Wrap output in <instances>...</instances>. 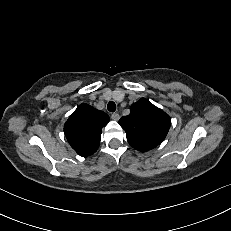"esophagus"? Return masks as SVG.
<instances>
[{
  "instance_id": "34e87169",
  "label": "esophagus",
  "mask_w": 231,
  "mask_h": 231,
  "mask_svg": "<svg viewBox=\"0 0 231 231\" xmlns=\"http://www.w3.org/2000/svg\"><path fill=\"white\" fill-rule=\"evenodd\" d=\"M111 118H112L113 120H115V121H118L119 118H120V115H119L118 113H113V114L111 115Z\"/></svg>"
}]
</instances>
